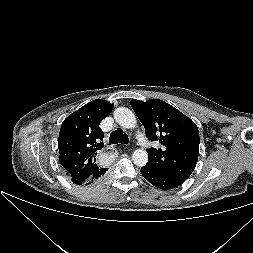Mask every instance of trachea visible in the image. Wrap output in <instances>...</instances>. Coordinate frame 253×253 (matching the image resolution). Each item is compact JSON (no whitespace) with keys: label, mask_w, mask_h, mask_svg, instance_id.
<instances>
[{"label":"trachea","mask_w":253,"mask_h":253,"mask_svg":"<svg viewBox=\"0 0 253 253\" xmlns=\"http://www.w3.org/2000/svg\"><path fill=\"white\" fill-rule=\"evenodd\" d=\"M118 143H121V144L129 143L128 135L126 133H123V130L121 129H117L113 131L109 137V145L118 144Z\"/></svg>","instance_id":"trachea-1"}]
</instances>
